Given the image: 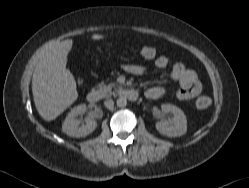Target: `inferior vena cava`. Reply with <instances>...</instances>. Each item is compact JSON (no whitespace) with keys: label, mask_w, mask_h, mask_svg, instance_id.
I'll return each mask as SVG.
<instances>
[{"label":"inferior vena cava","mask_w":249,"mask_h":188,"mask_svg":"<svg viewBox=\"0 0 249 188\" xmlns=\"http://www.w3.org/2000/svg\"><path fill=\"white\" fill-rule=\"evenodd\" d=\"M104 105L108 109H113V107H114V101L112 99L106 100L104 102Z\"/></svg>","instance_id":"602c4592"}]
</instances>
